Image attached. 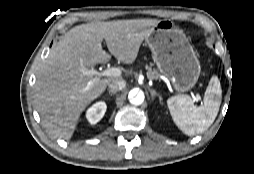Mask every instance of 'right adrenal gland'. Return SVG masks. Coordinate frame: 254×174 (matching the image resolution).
<instances>
[{"instance_id":"2a0ac1e0","label":"right adrenal gland","mask_w":254,"mask_h":174,"mask_svg":"<svg viewBox=\"0 0 254 174\" xmlns=\"http://www.w3.org/2000/svg\"><path fill=\"white\" fill-rule=\"evenodd\" d=\"M108 93H109L110 96L116 94V92H115V91H112V90H108Z\"/></svg>"}]
</instances>
